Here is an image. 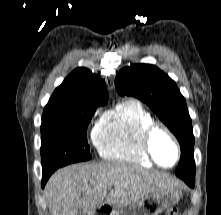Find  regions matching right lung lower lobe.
<instances>
[{
    "label": "right lung lower lobe",
    "mask_w": 221,
    "mask_h": 215,
    "mask_svg": "<svg viewBox=\"0 0 221 215\" xmlns=\"http://www.w3.org/2000/svg\"><path fill=\"white\" fill-rule=\"evenodd\" d=\"M54 171H49V172H43V178H42V183H41V186L42 188H44L47 180L49 179V177L51 176V174L53 173Z\"/></svg>",
    "instance_id": "98d812e1"
}]
</instances>
